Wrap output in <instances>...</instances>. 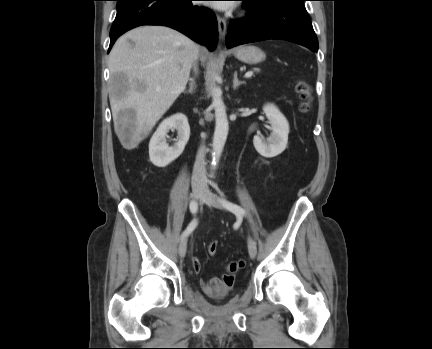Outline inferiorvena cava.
Listing matches in <instances>:
<instances>
[{
  "label": "inferior vena cava",
  "instance_id": "obj_1",
  "mask_svg": "<svg viewBox=\"0 0 432 349\" xmlns=\"http://www.w3.org/2000/svg\"><path fill=\"white\" fill-rule=\"evenodd\" d=\"M198 59V51L196 50L193 55V61L195 62ZM194 69L196 70L195 63H194ZM205 155H206V148L205 146H200L196 161L193 167V173H192V185H206L207 183V177H206V171H205Z\"/></svg>",
  "mask_w": 432,
  "mask_h": 349
}]
</instances>
